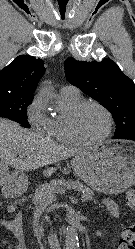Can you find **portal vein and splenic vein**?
<instances>
[{
  "instance_id": "portal-vein-and-splenic-vein-1",
  "label": "portal vein and splenic vein",
  "mask_w": 135,
  "mask_h": 249,
  "mask_svg": "<svg viewBox=\"0 0 135 249\" xmlns=\"http://www.w3.org/2000/svg\"><path fill=\"white\" fill-rule=\"evenodd\" d=\"M85 199H86L85 196L81 197L82 201H84ZM54 200H56V196H51L50 201L53 202Z\"/></svg>"
}]
</instances>
